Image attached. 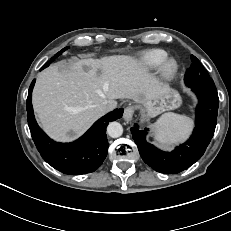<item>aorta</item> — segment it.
<instances>
[{
  "instance_id": "1",
  "label": "aorta",
  "mask_w": 231,
  "mask_h": 231,
  "mask_svg": "<svg viewBox=\"0 0 231 231\" xmlns=\"http://www.w3.org/2000/svg\"><path fill=\"white\" fill-rule=\"evenodd\" d=\"M107 133L112 138H118L123 134V127L116 121L110 122L107 126Z\"/></svg>"
}]
</instances>
